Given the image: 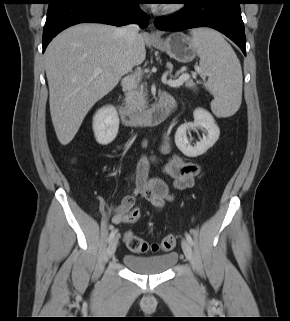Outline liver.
Wrapping results in <instances>:
<instances>
[{
  "label": "liver",
  "mask_w": 290,
  "mask_h": 321,
  "mask_svg": "<svg viewBox=\"0 0 290 321\" xmlns=\"http://www.w3.org/2000/svg\"><path fill=\"white\" fill-rule=\"evenodd\" d=\"M119 30L106 24H77L58 34L46 49L50 114L62 145L72 141L93 105L146 58L143 35L127 43ZM96 68L103 72L94 75Z\"/></svg>",
  "instance_id": "liver-1"
}]
</instances>
